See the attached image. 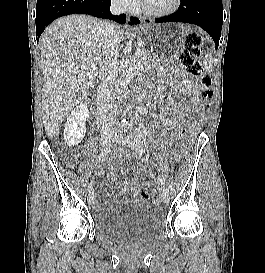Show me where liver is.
<instances>
[{
    "mask_svg": "<svg viewBox=\"0 0 265 273\" xmlns=\"http://www.w3.org/2000/svg\"><path fill=\"white\" fill-rule=\"evenodd\" d=\"M100 22L86 15H69L55 20L41 36L42 117L49 138L87 94L103 64ZM122 40L123 31L118 27L117 49Z\"/></svg>",
    "mask_w": 265,
    "mask_h": 273,
    "instance_id": "obj_1",
    "label": "liver"
}]
</instances>
